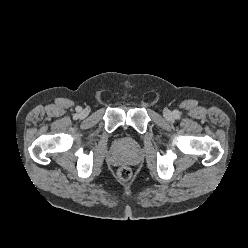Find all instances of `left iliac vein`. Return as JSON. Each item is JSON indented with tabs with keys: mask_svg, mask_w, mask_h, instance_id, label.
Instances as JSON below:
<instances>
[{
	"mask_svg": "<svg viewBox=\"0 0 248 248\" xmlns=\"http://www.w3.org/2000/svg\"><path fill=\"white\" fill-rule=\"evenodd\" d=\"M164 117L167 119V120H171L173 118V114L170 110H165L164 111Z\"/></svg>",
	"mask_w": 248,
	"mask_h": 248,
	"instance_id": "4c4485c4",
	"label": "left iliac vein"
}]
</instances>
